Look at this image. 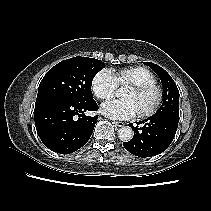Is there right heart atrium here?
I'll return each instance as SVG.
<instances>
[{
  "label": "right heart atrium",
  "instance_id": "d8ad5b80",
  "mask_svg": "<svg viewBox=\"0 0 211 211\" xmlns=\"http://www.w3.org/2000/svg\"><path fill=\"white\" fill-rule=\"evenodd\" d=\"M117 80L112 71L102 69L97 72L91 81L93 94L99 100L111 99L117 90Z\"/></svg>",
  "mask_w": 211,
  "mask_h": 211
}]
</instances>
